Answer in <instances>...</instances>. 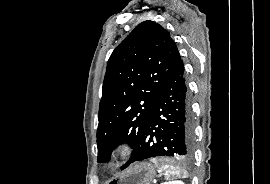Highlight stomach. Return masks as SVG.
Listing matches in <instances>:
<instances>
[{"label": "stomach", "instance_id": "obj_1", "mask_svg": "<svg viewBox=\"0 0 270 184\" xmlns=\"http://www.w3.org/2000/svg\"><path fill=\"white\" fill-rule=\"evenodd\" d=\"M156 176L155 167L147 162L135 164L107 184H151Z\"/></svg>", "mask_w": 270, "mask_h": 184}]
</instances>
